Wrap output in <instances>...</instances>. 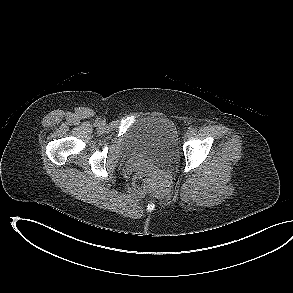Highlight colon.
<instances>
[{
	"label": "colon",
	"mask_w": 293,
	"mask_h": 293,
	"mask_svg": "<svg viewBox=\"0 0 293 293\" xmlns=\"http://www.w3.org/2000/svg\"><path fill=\"white\" fill-rule=\"evenodd\" d=\"M152 185V179L148 172L146 171H138L133 178V186L136 192L144 193L146 192Z\"/></svg>",
	"instance_id": "1"
}]
</instances>
